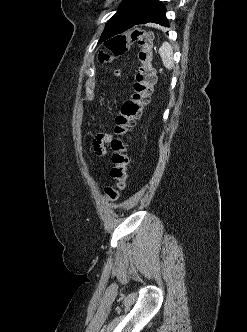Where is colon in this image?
I'll return each mask as SVG.
<instances>
[{
  "label": "colon",
  "mask_w": 247,
  "mask_h": 332,
  "mask_svg": "<svg viewBox=\"0 0 247 332\" xmlns=\"http://www.w3.org/2000/svg\"><path fill=\"white\" fill-rule=\"evenodd\" d=\"M152 41L151 32L132 27L126 33L111 38L106 45L114 56H120L127 51L131 42H137L140 46L139 60L141 63L133 85V94L130 99L123 102L120 113L115 118V137L110 142L113 150V167L110 171L113 184L104 188V196L110 201L118 199L126 187L129 155L125 138L131 133L136 121L140 118L144 106L149 103L156 80ZM99 58L102 62L110 60V56L106 53H101Z\"/></svg>",
  "instance_id": "colon-1"
}]
</instances>
